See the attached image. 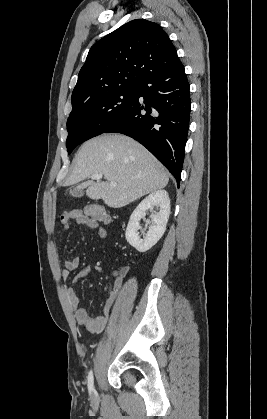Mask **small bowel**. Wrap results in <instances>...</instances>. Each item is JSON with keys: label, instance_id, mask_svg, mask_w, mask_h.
Instances as JSON below:
<instances>
[{"label": "small bowel", "instance_id": "1", "mask_svg": "<svg viewBox=\"0 0 267 419\" xmlns=\"http://www.w3.org/2000/svg\"><path fill=\"white\" fill-rule=\"evenodd\" d=\"M60 221L65 230H68L71 224L75 222L86 229L96 230L97 236L100 239H106L108 236V232L104 227L99 226L97 221L85 217L79 210H72L63 213L60 217ZM79 263V257H73L65 261L64 269L61 272L62 279H68L70 273L78 268ZM90 271V267H85L80 270L74 279V283L76 284L80 279L89 275ZM125 274V270L115 273L113 286L106 287L108 298L104 305L103 316L95 318L91 317L86 309L80 307V299L76 286L73 285L67 289L68 300L71 308L74 310V317L77 324L93 333L101 332L106 327L110 312L121 289Z\"/></svg>", "mask_w": 267, "mask_h": 419}]
</instances>
